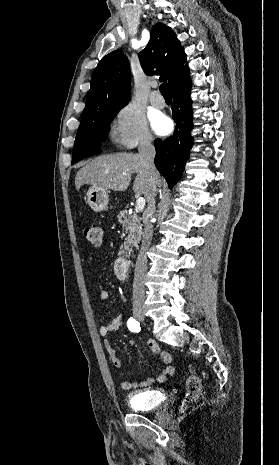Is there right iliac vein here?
Instances as JSON below:
<instances>
[{"label": "right iliac vein", "mask_w": 279, "mask_h": 465, "mask_svg": "<svg viewBox=\"0 0 279 465\" xmlns=\"http://www.w3.org/2000/svg\"><path fill=\"white\" fill-rule=\"evenodd\" d=\"M134 316L139 320V321H144L145 320V314L143 308H135L134 311Z\"/></svg>", "instance_id": "obj_1"}]
</instances>
